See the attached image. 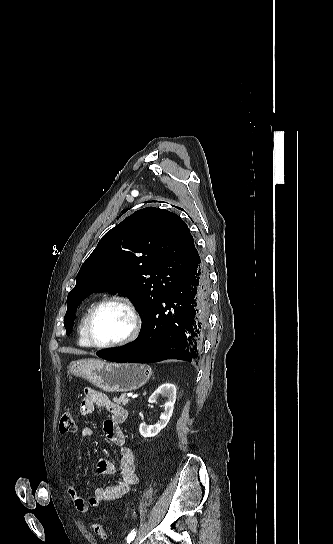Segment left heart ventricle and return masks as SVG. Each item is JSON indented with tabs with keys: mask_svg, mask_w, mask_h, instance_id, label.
I'll return each mask as SVG.
<instances>
[{
	"mask_svg": "<svg viewBox=\"0 0 333 544\" xmlns=\"http://www.w3.org/2000/svg\"><path fill=\"white\" fill-rule=\"evenodd\" d=\"M132 328V316L121 303L104 305L94 317L92 335L100 344H107L125 338Z\"/></svg>",
	"mask_w": 333,
	"mask_h": 544,
	"instance_id": "1",
	"label": "left heart ventricle"
}]
</instances>
